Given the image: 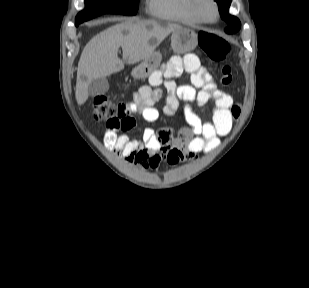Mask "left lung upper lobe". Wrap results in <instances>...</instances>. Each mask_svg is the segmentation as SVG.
<instances>
[{
	"mask_svg": "<svg viewBox=\"0 0 309 288\" xmlns=\"http://www.w3.org/2000/svg\"><path fill=\"white\" fill-rule=\"evenodd\" d=\"M215 1L218 4L219 12L221 14L222 19L225 20L228 24V27L225 29V32L229 34L237 32L241 27V23L238 18L228 13L231 0H215Z\"/></svg>",
	"mask_w": 309,
	"mask_h": 288,
	"instance_id": "1",
	"label": "left lung upper lobe"
}]
</instances>
